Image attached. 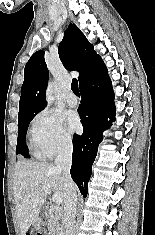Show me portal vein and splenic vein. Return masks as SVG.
<instances>
[{
  "label": "portal vein and splenic vein",
  "mask_w": 155,
  "mask_h": 235,
  "mask_svg": "<svg viewBox=\"0 0 155 235\" xmlns=\"http://www.w3.org/2000/svg\"><path fill=\"white\" fill-rule=\"evenodd\" d=\"M42 189L48 193V194H51V189L46 187V186H42ZM52 200L57 203V204H61L62 203V197L58 194H53L52 195Z\"/></svg>",
  "instance_id": "18ae733b"
}]
</instances>
